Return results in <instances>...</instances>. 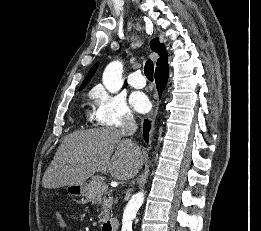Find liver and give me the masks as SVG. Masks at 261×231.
Wrapping results in <instances>:
<instances>
[{
    "instance_id": "6515ba94",
    "label": "liver",
    "mask_w": 261,
    "mask_h": 231,
    "mask_svg": "<svg viewBox=\"0 0 261 231\" xmlns=\"http://www.w3.org/2000/svg\"><path fill=\"white\" fill-rule=\"evenodd\" d=\"M144 160L145 153L123 139L116 128L78 131L64 138L44 174L42 185L55 189L83 184L96 172L128 180L137 175Z\"/></svg>"
}]
</instances>
